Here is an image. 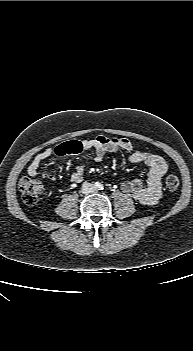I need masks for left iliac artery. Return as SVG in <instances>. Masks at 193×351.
<instances>
[{"label":"left iliac artery","instance_id":"44dca946","mask_svg":"<svg viewBox=\"0 0 193 351\" xmlns=\"http://www.w3.org/2000/svg\"><path fill=\"white\" fill-rule=\"evenodd\" d=\"M100 189H101V190H103V189H104L102 185L100 186Z\"/></svg>","mask_w":193,"mask_h":351}]
</instances>
